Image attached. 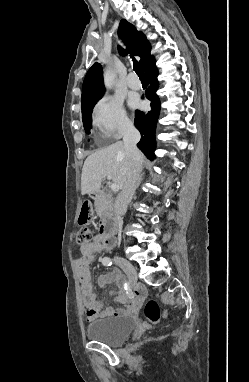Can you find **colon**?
<instances>
[{"label": "colon", "mask_w": 249, "mask_h": 382, "mask_svg": "<svg viewBox=\"0 0 249 382\" xmlns=\"http://www.w3.org/2000/svg\"><path fill=\"white\" fill-rule=\"evenodd\" d=\"M92 219L91 204L84 202L81 206L79 214V223L82 226L76 234V242L81 246L90 241L91 233L87 225ZM144 315L146 322L143 323L144 329H149L150 326L157 324L162 317V312L156 300L148 299L144 304Z\"/></svg>", "instance_id": "1"}]
</instances>
